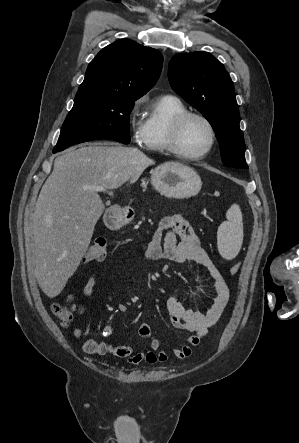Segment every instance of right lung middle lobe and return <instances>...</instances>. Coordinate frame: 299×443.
I'll list each match as a JSON object with an SVG mask.
<instances>
[{
    "mask_svg": "<svg viewBox=\"0 0 299 443\" xmlns=\"http://www.w3.org/2000/svg\"><path fill=\"white\" fill-rule=\"evenodd\" d=\"M135 101L98 92L77 93L54 150L97 139L128 144L129 115Z\"/></svg>",
    "mask_w": 299,
    "mask_h": 443,
    "instance_id": "1",
    "label": "right lung middle lobe"
}]
</instances>
